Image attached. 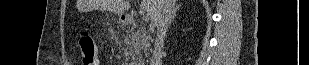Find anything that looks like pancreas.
<instances>
[{"mask_svg": "<svg viewBox=\"0 0 309 65\" xmlns=\"http://www.w3.org/2000/svg\"><path fill=\"white\" fill-rule=\"evenodd\" d=\"M151 37L145 29L134 26L130 36L129 55L133 60L141 61L143 53L149 49Z\"/></svg>", "mask_w": 309, "mask_h": 65, "instance_id": "pancreas-1", "label": "pancreas"}]
</instances>
